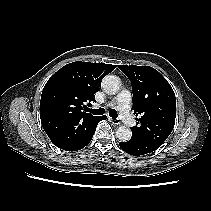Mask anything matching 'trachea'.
<instances>
[{
    "label": "trachea",
    "instance_id": "1",
    "mask_svg": "<svg viewBox=\"0 0 211 211\" xmlns=\"http://www.w3.org/2000/svg\"><path fill=\"white\" fill-rule=\"evenodd\" d=\"M89 112L94 114V115H102L104 113V109L103 108H99V109H89ZM109 116L112 118H116L118 116L117 111L114 109H111L109 111Z\"/></svg>",
    "mask_w": 211,
    "mask_h": 211
}]
</instances>
